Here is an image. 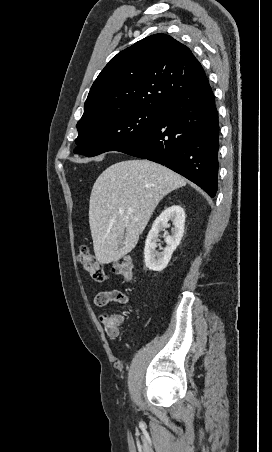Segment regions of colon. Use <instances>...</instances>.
I'll list each match as a JSON object with an SVG mask.
<instances>
[{
  "label": "colon",
  "instance_id": "1",
  "mask_svg": "<svg viewBox=\"0 0 272 452\" xmlns=\"http://www.w3.org/2000/svg\"><path fill=\"white\" fill-rule=\"evenodd\" d=\"M78 260L94 282L103 283L108 280V275L103 265L97 261L87 246L84 245L80 248ZM113 271L125 280H131L133 277V262L131 258L125 257L116 261L113 264Z\"/></svg>",
  "mask_w": 272,
  "mask_h": 452
}]
</instances>
